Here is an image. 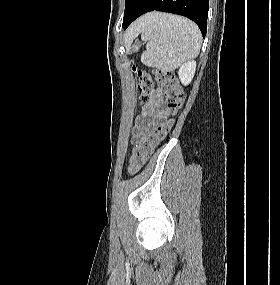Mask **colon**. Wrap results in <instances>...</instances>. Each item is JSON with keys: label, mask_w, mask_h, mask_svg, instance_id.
Listing matches in <instances>:
<instances>
[{"label": "colon", "mask_w": 280, "mask_h": 285, "mask_svg": "<svg viewBox=\"0 0 280 285\" xmlns=\"http://www.w3.org/2000/svg\"><path fill=\"white\" fill-rule=\"evenodd\" d=\"M133 69L137 74V94L141 103H147L150 100L155 84H157L164 97L169 115L174 116L180 111L184 93L173 73L156 70L150 74L137 70L135 67ZM172 124L171 117L159 119L142 137L135 141L129 157V172L131 174L138 172L143 167L150 154L166 137Z\"/></svg>", "instance_id": "1"}]
</instances>
